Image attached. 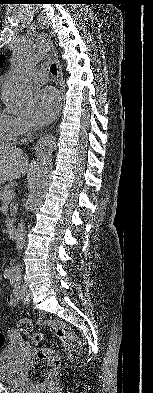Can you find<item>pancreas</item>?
Wrapping results in <instances>:
<instances>
[{
	"label": "pancreas",
	"mask_w": 153,
	"mask_h": 393,
	"mask_svg": "<svg viewBox=\"0 0 153 393\" xmlns=\"http://www.w3.org/2000/svg\"><path fill=\"white\" fill-rule=\"evenodd\" d=\"M13 189H14V184H7V185H5V186L3 187V189L0 191V200H1L2 202H5V203L10 204V214H9V215H10L11 217L8 216V217L6 218V226H7V227L11 226L12 223L14 222L15 212H16V210H17L16 206H14V203H13V198H14V197H12L11 199H7L8 193H9L11 190H13Z\"/></svg>",
	"instance_id": "pancreas-1"
}]
</instances>
